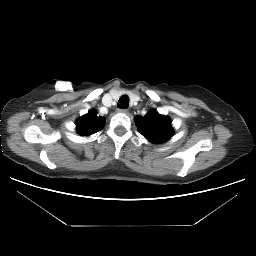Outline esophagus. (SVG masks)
Masks as SVG:
<instances>
[{
    "label": "esophagus",
    "mask_w": 256,
    "mask_h": 256,
    "mask_svg": "<svg viewBox=\"0 0 256 256\" xmlns=\"http://www.w3.org/2000/svg\"><path fill=\"white\" fill-rule=\"evenodd\" d=\"M117 112H118V113L127 114V113H128V110H127V109H118Z\"/></svg>",
    "instance_id": "1"
}]
</instances>
